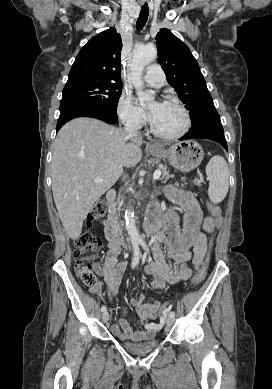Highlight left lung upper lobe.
Masks as SVG:
<instances>
[{"instance_id": "1", "label": "left lung upper lobe", "mask_w": 272, "mask_h": 389, "mask_svg": "<svg viewBox=\"0 0 272 389\" xmlns=\"http://www.w3.org/2000/svg\"><path fill=\"white\" fill-rule=\"evenodd\" d=\"M161 64L168 83L175 88L181 101L190 111L191 121L196 122L215 109L199 65L185 43L168 29L156 35Z\"/></svg>"}]
</instances>
